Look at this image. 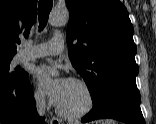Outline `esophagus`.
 I'll use <instances>...</instances> for the list:
<instances>
[{
  "mask_svg": "<svg viewBox=\"0 0 156 124\" xmlns=\"http://www.w3.org/2000/svg\"><path fill=\"white\" fill-rule=\"evenodd\" d=\"M50 124H61V121L56 117H52L50 120Z\"/></svg>",
  "mask_w": 156,
  "mask_h": 124,
  "instance_id": "obj_1",
  "label": "esophagus"
}]
</instances>
